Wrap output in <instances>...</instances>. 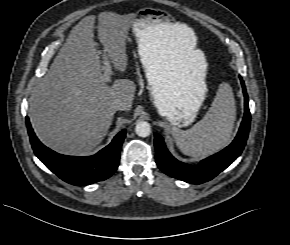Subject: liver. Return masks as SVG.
Returning a JSON list of instances; mask_svg holds the SVG:
<instances>
[{
	"label": "liver",
	"instance_id": "obj_1",
	"mask_svg": "<svg viewBox=\"0 0 290 245\" xmlns=\"http://www.w3.org/2000/svg\"><path fill=\"white\" fill-rule=\"evenodd\" d=\"M99 40L115 68H127L126 39L132 17L103 12L98 16ZM94 16H87L71 30L66 42L33 91L29 118L38 138L53 150L83 155L104 139L114 116L111 105L132 108L135 84L117 79L105 84L101 73V50L94 41ZM174 55L184 66L194 61V43L182 24L164 26Z\"/></svg>",
	"mask_w": 290,
	"mask_h": 245
}]
</instances>
